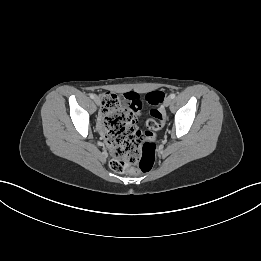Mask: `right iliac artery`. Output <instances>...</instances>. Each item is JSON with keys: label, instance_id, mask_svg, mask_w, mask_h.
Returning <instances> with one entry per match:
<instances>
[{"label": "right iliac artery", "instance_id": "right-iliac-artery-1", "mask_svg": "<svg viewBox=\"0 0 261 261\" xmlns=\"http://www.w3.org/2000/svg\"><path fill=\"white\" fill-rule=\"evenodd\" d=\"M90 98L94 99L95 95L94 94H90Z\"/></svg>", "mask_w": 261, "mask_h": 261}]
</instances>
